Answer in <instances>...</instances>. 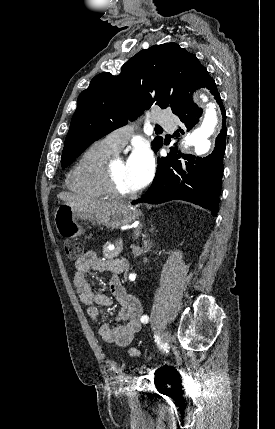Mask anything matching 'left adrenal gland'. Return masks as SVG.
Here are the masks:
<instances>
[{
  "label": "left adrenal gland",
  "instance_id": "a2214340",
  "mask_svg": "<svg viewBox=\"0 0 275 429\" xmlns=\"http://www.w3.org/2000/svg\"><path fill=\"white\" fill-rule=\"evenodd\" d=\"M141 227H142V224H140L138 226V228L134 231V239H137L139 237V235L141 233V231H140Z\"/></svg>",
  "mask_w": 275,
  "mask_h": 429
}]
</instances>
